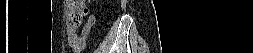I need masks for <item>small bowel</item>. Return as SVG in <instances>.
<instances>
[{
    "label": "small bowel",
    "instance_id": "obj_1",
    "mask_svg": "<svg viewBox=\"0 0 253 53\" xmlns=\"http://www.w3.org/2000/svg\"><path fill=\"white\" fill-rule=\"evenodd\" d=\"M95 23L94 15H90L81 30L77 27L66 25V34L68 36V44L75 51H81L86 43V38L89 35L92 26Z\"/></svg>",
    "mask_w": 253,
    "mask_h": 53
}]
</instances>
